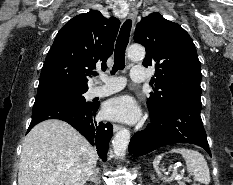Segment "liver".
<instances>
[{
    "mask_svg": "<svg viewBox=\"0 0 233 185\" xmlns=\"http://www.w3.org/2000/svg\"><path fill=\"white\" fill-rule=\"evenodd\" d=\"M97 160L96 149L72 126L46 120L23 141L18 185H84Z\"/></svg>",
    "mask_w": 233,
    "mask_h": 185,
    "instance_id": "6515ba94",
    "label": "liver"
}]
</instances>
